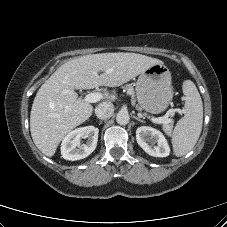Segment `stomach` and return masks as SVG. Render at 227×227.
<instances>
[{"label": "stomach", "mask_w": 227, "mask_h": 227, "mask_svg": "<svg viewBox=\"0 0 227 227\" xmlns=\"http://www.w3.org/2000/svg\"><path fill=\"white\" fill-rule=\"evenodd\" d=\"M139 106L152 114L164 112L173 98L171 73L164 64H155L143 71L136 82Z\"/></svg>", "instance_id": "1"}]
</instances>
